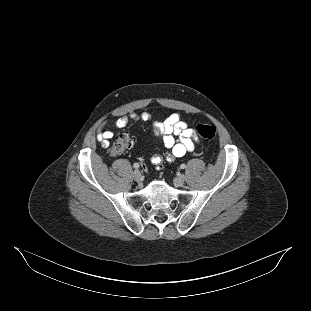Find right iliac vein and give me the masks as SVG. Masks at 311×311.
I'll return each instance as SVG.
<instances>
[{"label": "right iliac vein", "instance_id": "1", "mask_svg": "<svg viewBox=\"0 0 311 311\" xmlns=\"http://www.w3.org/2000/svg\"><path fill=\"white\" fill-rule=\"evenodd\" d=\"M141 173L138 171V170H135L133 172V179L136 181V182H140L141 181Z\"/></svg>", "mask_w": 311, "mask_h": 311}]
</instances>
